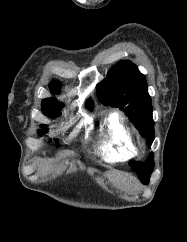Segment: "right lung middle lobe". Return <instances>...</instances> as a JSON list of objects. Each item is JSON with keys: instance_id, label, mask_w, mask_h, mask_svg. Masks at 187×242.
Instances as JSON below:
<instances>
[{"instance_id": "dd1d6c3e", "label": "right lung middle lobe", "mask_w": 187, "mask_h": 242, "mask_svg": "<svg viewBox=\"0 0 187 242\" xmlns=\"http://www.w3.org/2000/svg\"><path fill=\"white\" fill-rule=\"evenodd\" d=\"M52 118H55V117H52ZM42 129H40L39 131H38V134L40 135V136H43L47 131H48V129L46 128L47 126L46 125H41L40 126Z\"/></svg>"}]
</instances>
